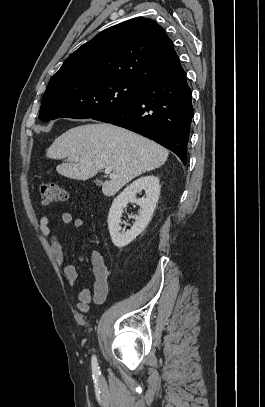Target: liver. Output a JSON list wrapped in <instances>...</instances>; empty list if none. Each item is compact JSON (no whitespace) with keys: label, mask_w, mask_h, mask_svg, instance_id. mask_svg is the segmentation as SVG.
<instances>
[{"label":"liver","mask_w":265,"mask_h":407,"mask_svg":"<svg viewBox=\"0 0 265 407\" xmlns=\"http://www.w3.org/2000/svg\"><path fill=\"white\" fill-rule=\"evenodd\" d=\"M48 158L65 159L57 172L74 180H88L110 168L102 185L105 196L115 195L135 177L159 168L169 155L158 143L127 129L108 124H86L59 136L46 152Z\"/></svg>","instance_id":"6515ba94"}]
</instances>
